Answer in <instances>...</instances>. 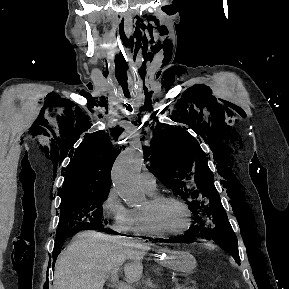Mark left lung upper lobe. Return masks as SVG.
I'll use <instances>...</instances> for the list:
<instances>
[{
  "label": "left lung upper lobe",
  "instance_id": "1",
  "mask_svg": "<svg viewBox=\"0 0 289 289\" xmlns=\"http://www.w3.org/2000/svg\"><path fill=\"white\" fill-rule=\"evenodd\" d=\"M161 127H156L150 148H145L150 171L188 203L195 217L188 232L211 233L214 241L240 262L237 238L227 221L205 153L182 128Z\"/></svg>",
  "mask_w": 289,
  "mask_h": 289
}]
</instances>
